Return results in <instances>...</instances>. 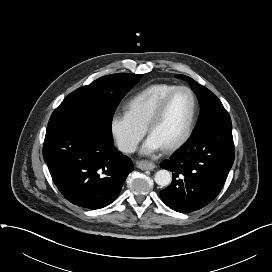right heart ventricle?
<instances>
[{
  "label": "right heart ventricle",
  "mask_w": 272,
  "mask_h": 272,
  "mask_svg": "<svg viewBox=\"0 0 272 272\" xmlns=\"http://www.w3.org/2000/svg\"><path fill=\"white\" fill-rule=\"evenodd\" d=\"M176 85L158 83L145 87L132 96L126 103L127 114L140 126L146 128L147 123L166 94Z\"/></svg>",
  "instance_id": "1"
}]
</instances>
